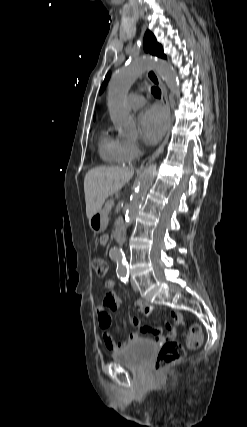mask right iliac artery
Masks as SVG:
<instances>
[{
	"label": "right iliac artery",
	"instance_id": "1",
	"mask_svg": "<svg viewBox=\"0 0 247 427\" xmlns=\"http://www.w3.org/2000/svg\"><path fill=\"white\" fill-rule=\"evenodd\" d=\"M129 275L128 274H122L119 276V278L121 279V281L123 282H127Z\"/></svg>",
	"mask_w": 247,
	"mask_h": 427
}]
</instances>
